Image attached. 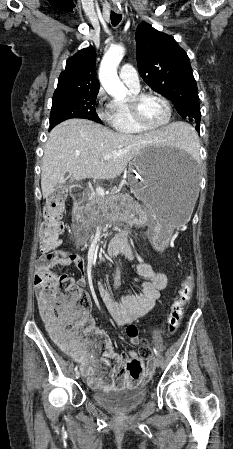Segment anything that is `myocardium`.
I'll use <instances>...</instances> for the list:
<instances>
[{
    "instance_id": "1",
    "label": "myocardium",
    "mask_w": 233,
    "mask_h": 449,
    "mask_svg": "<svg viewBox=\"0 0 233 449\" xmlns=\"http://www.w3.org/2000/svg\"><path fill=\"white\" fill-rule=\"evenodd\" d=\"M153 96L160 99L167 108V117L165 121L158 125H150L144 121L140 112V103L145 97ZM129 112L136 124L145 130H158L169 124L172 118V106L168 99L160 93L154 91H144L133 93L127 101Z\"/></svg>"
}]
</instances>
